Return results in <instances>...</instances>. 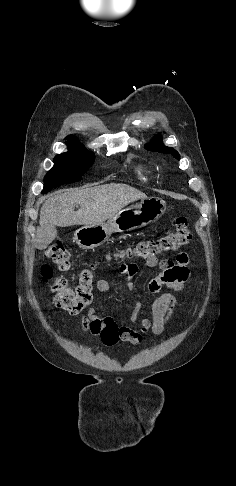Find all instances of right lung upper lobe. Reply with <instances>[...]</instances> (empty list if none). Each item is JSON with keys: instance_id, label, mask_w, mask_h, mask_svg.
Wrapping results in <instances>:
<instances>
[{"instance_id": "obj_1", "label": "right lung upper lobe", "mask_w": 236, "mask_h": 486, "mask_svg": "<svg viewBox=\"0 0 236 486\" xmlns=\"http://www.w3.org/2000/svg\"><path fill=\"white\" fill-rule=\"evenodd\" d=\"M66 139L68 140L67 142L81 144V143L77 142V138L73 135H69Z\"/></svg>"}]
</instances>
